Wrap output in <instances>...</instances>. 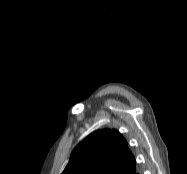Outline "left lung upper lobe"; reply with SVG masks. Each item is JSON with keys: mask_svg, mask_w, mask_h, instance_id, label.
<instances>
[{"mask_svg": "<svg viewBox=\"0 0 187 174\" xmlns=\"http://www.w3.org/2000/svg\"><path fill=\"white\" fill-rule=\"evenodd\" d=\"M135 158L117 131H95L73 150L62 174H136Z\"/></svg>", "mask_w": 187, "mask_h": 174, "instance_id": "left-lung-upper-lobe-1", "label": "left lung upper lobe"}]
</instances>
